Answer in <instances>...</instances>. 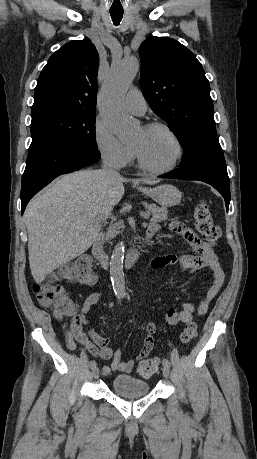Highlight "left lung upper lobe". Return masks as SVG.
<instances>
[{
  "label": "left lung upper lobe",
  "instance_id": "left-lung-upper-lobe-1",
  "mask_svg": "<svg viewBox=\"0 0 257 459\" xmlns=\"http://www.w3.org/2000/svg\"><path fill=\"white\" fill-rule=\"evenodd\" d=\"M140 86L151 109L172 128L182 145V163L199 156L202 139L216 133L213 101L195 55L168 37H150L140 47Z\"/></svg>",
  "mask_w": 257,
  "mask_h": 459
}]
</instances>
